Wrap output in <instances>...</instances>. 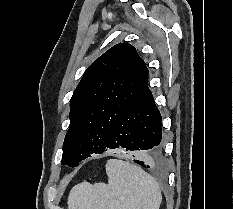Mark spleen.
I'll use <instances>...</instances> for the list:
<instances>
[{"instance_id": "1", "label": "spleen", "mask_w": 233, "mask_h": 209, "mask_svg": "<svg viewBox=\"0 0 233 209\" xmlns=\"http://www.w3.org/2000/svg\"><path fill=\"white\" fill-rule=\"evenodd\" d=\"M108 183L83 181L68 196V209H159L162 195L156 180L129 162L106 163Z\"/></svg>"}]
</instances>
